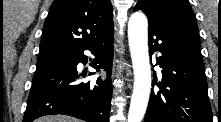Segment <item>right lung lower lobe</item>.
<instances>
[{
  "label": "right lung lower lobe",
  "mask_w": 221,
  "mask_h": 122,
  "mask_svg": "<svg viewBox=\"0 0 221 122\" xmlns=\"http://www.w3.org/2000/svg\"><path fill=\"white\" fill-rule=\"evenodd\" d=\"M84 50H90L96 57L93 68L106 70L105 80L98 78L95 84L78 82L76 66L88 59ZM112 63L113 32L63 61L36 71L23 122L52 114L70 115L87 122H109Z\"/></svg>",
  "instance_id": "98d812e1"
}]
</instances>
